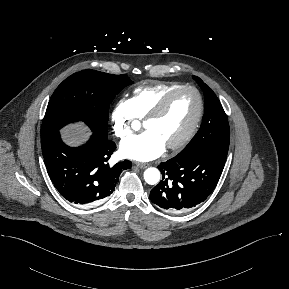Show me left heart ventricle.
Listing matches in <instances>:
<instances>
[{
  "label": "left heart ventricle",
  "mask_w": 289,
  "mask_h": 289,
  "mask_svg": "<svg viewBox=\"0 0 289 289\" xmlns=\"http://www.w3.org/2000/svg\"><path fill=\"white\" fill-rule=\"evenodd\" d=\"M198 109V99L193 91L177 94L166 112L158 119L144 125L155 133L165 146L179 141L191 127Z\"/></svg>",
  "instance_id": "b2bd125f"
}]
</instances>
